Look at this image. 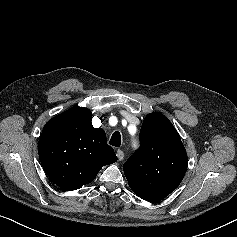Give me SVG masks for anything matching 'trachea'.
Returning <instances> with one entry per match:
<instances>
[{
	"label": "trachea",
	"mask_w": 237,
	"mask_h": 237,
	"mask_svg": "<svg viewBox=\"0 0 237 237\" xmlns=\"http://www.w3.org/2000/svg\"><path fill=\"white\" fill-rule=\"evenodd\" d=\"M109 143L114 147H119L121 145V135L118 131L113 133Z\"/></svg>",
	"instance_id": "trachea-1"
}]
</instances>
